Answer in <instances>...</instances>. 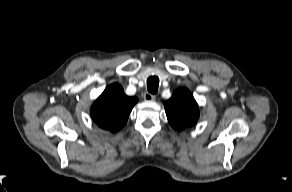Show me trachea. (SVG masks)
Masks as SVG:
<instances>
[{
    "instance_id": "obj_1",
    "label": "trachea",
    "mask_w": 292,
    "mask_h": 192,
    "mask_svg": "<svg viewBox=\"0 0 292 192\" xmlns=\"http://www.w3.org/2000/svg\"><path fill=\"white\" fill-rule=\"evenodd\" d=\"M159 78L157 76H150L147 79V89L150 93L155 94L158 91Z\"/></svg>"
}]
</instances>
